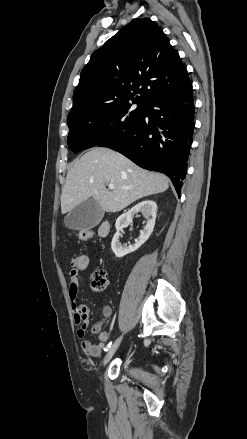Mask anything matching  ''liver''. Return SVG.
Segmentation results:
<instances>
[{
	"instance_id": "1",
	"label": "liver",
	"mask_w": 247,
	"mask_h": 439,
	"mask_svg": "<svg viewBox=\"0 0 247 439\" xmlns=\"http://www.w3.org/2000/svg\"><path fill=\"white\" fill-rule=\"evenodd\" d=\"M114 184L108 190L107 184ZM169 179L142 169L122 154L108 148H94L69 169L61 194V213L90 198L103 211L118 212L143 197L164 192Z\"/></svg>"
}]
</instances>
